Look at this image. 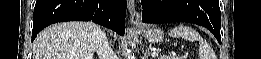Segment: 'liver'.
<instances>
[{
	"label": "liver",
	"instance_id": "obj_1",
	"mask_svg": "<svg viewBox=\"0 0 261 59\" xmlns=\"http://www.w3.org/2000/svg\"><path fill=\"white\" fill-rule=\"evenodd\" d=\"M95 28L92 22L52 25L38 34L33 59H93Z\"/></svg>",
	"mask_w": 261,
	"mask_h": 59
}]
</instances>
